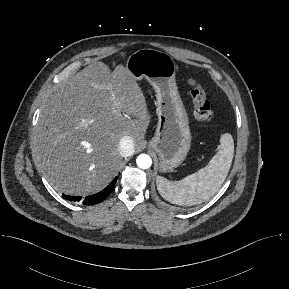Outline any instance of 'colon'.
I'll return each instance as SVG.
<instances>
[{
	"label": "colon",
	"mask_w": 289,
	"mask_h": 289,
	"mask_svg": "<svg viewBox=\"0 0 289 289\" xmlns=\"http://www.w3.org/2000/svg\"><path fill=\"white\" fill-rule=\"evenodd\" d=\"M189 85L196 120L202 125H210L213 121V111L205 90L195 79H190Z\"/></svg>",
	"instance_id": "colon-1"
}]
</instances>
